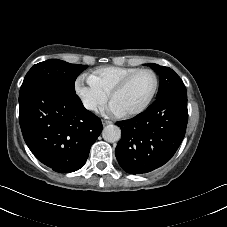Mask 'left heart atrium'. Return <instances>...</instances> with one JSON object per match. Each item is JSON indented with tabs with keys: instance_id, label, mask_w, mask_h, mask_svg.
Listing matches in <instances>:
<instances>
[{
	"instance_id": "left-heart-atrium-1",
	"label": "left heart atrium",
	"mask_w": 227,
	"mask_h": 227,
	"mask_svg": "<svg viewBox=\"0 0 227 227\" xmlns=\"http://www.w3.org/2000/svg\"><path fill=\"white\" fill-rule=\"evenodd\" d=\"M107 113L115 116H121L124 114V110L112 100L107 108Z\"/></svg>"
}]
</instances>
